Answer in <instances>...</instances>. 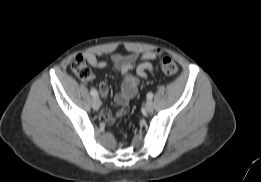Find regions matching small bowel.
I'll return each mask as SVG.
<instances>
[{"mask_svg": "<svg viewBox=\"0 0 261 182\" xmlns=\"http://www.w3.org/2000/svg\"><path fill=\"white\" fill-rule=\"evenodd\" d=\"M162 54L161 50H148L142 53L114 54L111 62L120 73L121 86L115 94V102L120 107L113 114L108 109L101 110V116L107 123L115 121L116 117L125 115L129 111V101L137 94L140 79H146L148 74L153 71L152 61ZM82 57L94 68L103 69L109 65L107 60H100L92 52H85ZM136 72V75L132 73ZM99 91L102 97H106L109 88L106 83L101 82Z\"/></svg>", "mask_w": 261, "mask_h": 182, "instance_id": "obj_1", "label": "small bowel"}]
</instances>
